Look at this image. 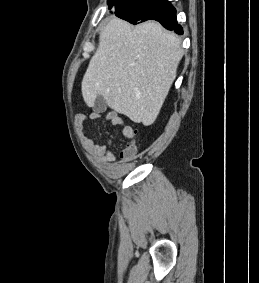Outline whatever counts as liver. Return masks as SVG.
<instances>
[{"label":"liver","mask_w":259,"mask_h":283,"mask_svg":"<svg viewBox=\"0 0 259 283\" xmlns=\"http://www.w3.org/2000/svg\"><path fill=\"white\" fill-rule=\"evenodd\" d=\"M183 56L180 39L154 21L135 27L112 17L82 80V96H97L117 113L149 126L156 120Z\"/></svg>","instance_id":"6515ba94"}]
</instances>
